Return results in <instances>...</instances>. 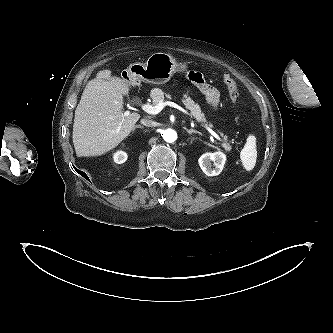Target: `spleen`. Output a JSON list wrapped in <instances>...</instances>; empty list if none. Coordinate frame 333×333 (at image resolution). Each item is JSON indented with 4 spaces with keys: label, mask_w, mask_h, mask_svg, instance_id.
Returning <instances> with one entry per match:
<instances>
[{
    "label": "spleen",
    "mask_w": 333,
    "mask_h": 333,
    "mask_svg": "<svg viewBox=\"0 0 333 333\" xmlns=\"http://www.w3.org/2000/svg\"><path fill=\"white\" fill-rule=\"evenodd\" d=\"M240 159L247 172L253 170L257 159L256 137L254 135L248 136L244 148L241 150Z\"/></svg>",
    "instance_id": "obj_1"
}]
</instances>
